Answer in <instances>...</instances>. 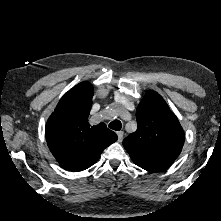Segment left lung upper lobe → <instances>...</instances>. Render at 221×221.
<instances>
[{
    "mask_svg": "<svg viewBox=\"0 0 221 221\" xmlns=\"http://www.w3.org/2000/svg\"><path fill=\"white\" fill-rule=\"evenodd\" d=\"M138 128L123 141L133 162L149 171L168 167L180 154L184 132L165 100L147 91L136 110Z\"/></svg>",
    "mask_w": 221,
    "mask_h": 221,
    "instance_id": "1",
    "label": "left lung upper lobe"
}]
</instances>
